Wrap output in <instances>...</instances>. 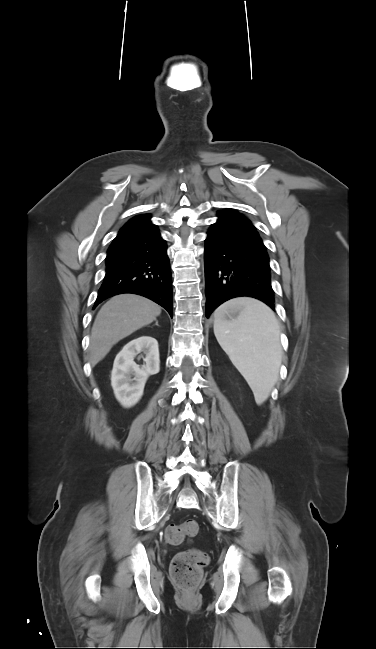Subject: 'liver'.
Here are the masks:
<instances>
[{
    "label": "liver",
    "instance_id": "obj_1",
    "mask_svg": "<svg viewBox=\"0 0 376 649\" xmlns=\"http://www.w3.org/2000/svg\"><path fill=\"white\" fill-rule=\"evenodd\" d=\"M161 313L153 301L134 294L112 297L99 310L90 337V362L95 366L123 338L152 323Z\"/></svg>",
    "mask_w": 376,
    "mask_h": 649
}]
</instances>
